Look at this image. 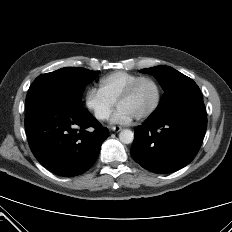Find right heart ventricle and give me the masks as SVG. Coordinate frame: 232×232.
Wrapping results in <instances>:
<instances>
[{
  "instance_id": "obj_1",
  "label": "right heart ventricle",
  "mask_w": 232,
  "mask_h": 232,
  "mask_svg": "<svg viewBox=\"0 0 232 232\" xmlns=\"http://www.w3.org/2000/svg\"><path fill=\"white\" fill-rule=\"evenodd\" d=\"M138 74H132L125 71L113 72L102 77L99 80L98 87L100 92L112 103H116L117 99L137 78Z\"/></svg>"
}]
</instances>
